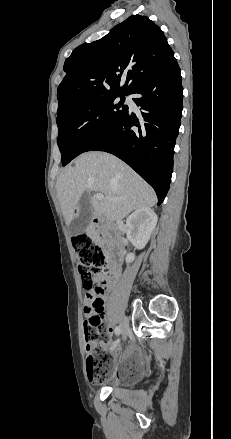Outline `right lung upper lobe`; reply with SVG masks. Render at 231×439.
I'll return each mask as SVG.
<instances>
[{"label":"right lung upper lobe","mask_w":231,"mask_h":439,"mask_svg":"<svg viewBox=\"0 0 231 439\" xmlns=\"http://www.w3.org/2000/svg\"><path fill=\"white\" fill-rule=\"evenodd\" d=\"M174 58L163 31L132 15L106 36L75 48L64 63L57 114L88 99L131 92Z\"/></svg>","instance_id":"cb5924a9"}]
</instances>
